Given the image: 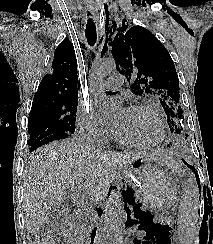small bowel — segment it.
Masks as SVG:
<instances>
[{
  "label": "small bowel",
  "mask_w": 213,
  "mask_h": 244,
  "mask_svg": "<svg viewBox=\"0 0 213 244\" xmlns=\"http://www.w3.org/2000/svg\"><path fill=\"white\" fill-rule=\"evenodd\" d=\"M145 244H157L158 242L156 241V240H154V241H150V242H144Z\"/></svg>",
  "instance_id": "obj_1"
}]
</instances>
